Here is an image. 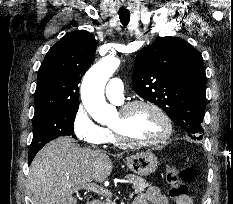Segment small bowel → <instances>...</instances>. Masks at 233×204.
Masks as SVG:
<instances>
[{"instance_id":"1","label":"small bowel","mask_w":233,"mask_h":204,"mask_svg":"<svg viewBox=\"0 0 233 204\" xmlns=\"http://www.w3.org/2000/svg\"><path fill=\"white\" fill-rule=\"evenodd\" d=\"M133 204H169V201L157 187H149L137 196ZM175 204H193V201L187 194H183L175 199Z\"/></svg>"}]
</instances>
